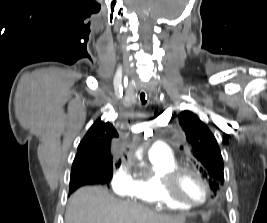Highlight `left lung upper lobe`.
I'll list each match as a JSON object with an SVG mask.
<instances>
[{
	"instance_id": "left-lung-upper-lobe-1",
	"label": "left lung upper lobe",
	"mask_w": 267,
	"mask_h": 223,
	"mask_svg": "<svg viewBox=\"0 0 267 223\" xmlns=\"http://www.w3.org/2000/svg\"><path fill=\"white\" fill-rule=\"evenodd\" d=\"M179 123L185 132L190 151L198 161L200 172L208 180L210 188L214 192L219 191L224 181V166L214 135L191 111H182Z\"/></svg>"
}]
</instances>
